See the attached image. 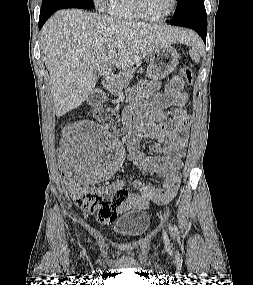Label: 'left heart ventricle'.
<instances>
[{
    "label": "left heart ventricle",
    "mask_w": 253,
    "mask_h": 285,
    "mask_svg": "<svg viewBox=\"0 0 253 285\" xmlns=\"http://www.w3.org/2000/svg\"><path fill=\"white\" fill-rule=\"evenodd\" d=\"M172 4L173 0H143L145 12L153 17L167 14Z\"/></svg>",
    "instance_id": "b2bd125f"
}]
</instances>
